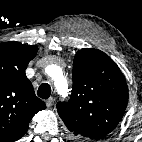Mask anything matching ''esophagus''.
Here are the masks:
<instances>
[{"mask_svg":"<svg viewBox=\"0 0 142 142\" xmlns=\"http://www.w3.org/2000/svg\"><path fill=\"white\" fill-rule=\"evenodd\" d=\"M45 103H46L47 108H51L54 104V98L50 97L49 99L46 100Z\"/></svg>","mask_w":142,"mask_h":142,"instance_id":"1","label":"esophagus"}]
</instances>
